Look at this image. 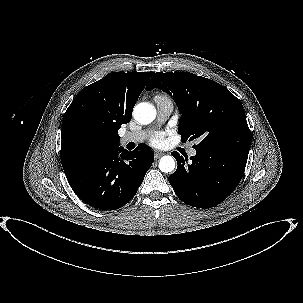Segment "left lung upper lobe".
<instances>
[{"mask_svg": "<svg viewBox=\"0 0 303 303\" xmlns=\"http://www.w3.org/2000/svg\"><path fill=\"white\" fill-rule=\"evenodd\" d=\"M160 88L181 112L179 134L183 140L199 138L195 149L218 147L249 150V130L243 106L228 89L189 72H157L146 90Z\"/></svg>", "mask_w": 303, "mask_h": 303, "instance_id": "5c2ea615", "label": "left lung upper lobe"}]
</instances>
